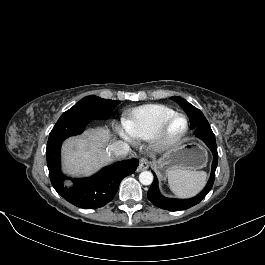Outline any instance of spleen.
Returning <instances> with one entry per match:
<instances>
[{"label": "spleen", "mask_w": 265, "mask_h": 265, "mask_svg": "<svg viewBox=\"0 0 265 265\" xmlns=\"http://www.w3.org/2000/svg\"><path fill=\"white\" fill-rule=\"evenodd\" d=\"M207 174L204 171L173 169L168 172V183L179 197H192L205 185Z\"/></svg>", "instance_id": "1"}]
</instances>
